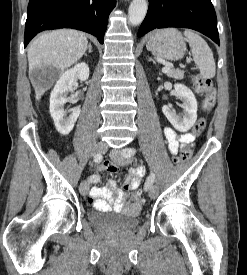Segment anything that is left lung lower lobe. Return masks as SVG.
<instances>
[{
  "mask_svg": "<svg viewBox=\"0 0 247 275\" xmlns=\"http://www.w3.org/2000/svg\"><path fill=\"white\" fill-rule=\"evenodd\" d=\"M165 27L190 28L219 44L216 13L211 0H149V9L138 37Z\"/></svg>",
  "mask_w": 247,
  "mask_h": 275,
  "instance_id": "1",
  "label": "left lung lower lobe"
}]
</instances>
